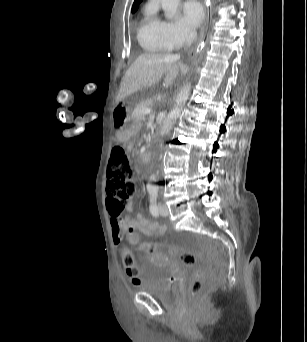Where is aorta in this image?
<instances>
[{
    "label": "aorta",
    "instance_id": "obj_1",
    "mask_svg": "<svg viewBox=\"0 0 307 342\" xmlns=\"http://www.w3.org/2000/svg\"><path fill=\"white\" fill-rule=\"evenodd\" d=\"M180 4V0H161L162 10H164V16L167 20H172L176 14H178V6ZM191 94V84H186L183 86L182 90H180L179 94H177V98L175 100V110L170 112L167 116L166 122H164L163 126H161L160 136H165L170 132L173 124H175L177 118H179L186 100H188Z\"/></svg>",
    "mask_w": 307,
    "mask_h": 342
}]
</instances>
